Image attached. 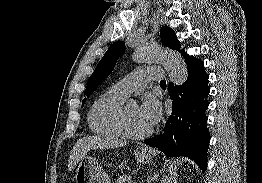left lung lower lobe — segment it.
<instances>
[{
  "mask_svg": "<svg viewBox=\"0 0 262 183\" xmlns=\"http://www.w3.org/2000/svg\"><path fill=\"white\" fill-rule=\"evenodd\" d=\"M188 77L181 86L169 84L172 99V114L166 121L163 132L146 139L145 144L157 147L168 157L185 156L205 170L210 136L205 111L209 106L208 74L204 63L186 56Z\"/></svg>",
  "mask_w": 262,
  "mask_h": 183,
  "instance_id": "1",
  "label": "left lung lower lobe"
}]
</instances>
